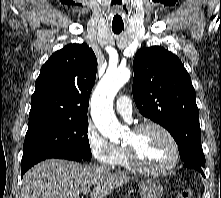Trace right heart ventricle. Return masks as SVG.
Returning a JSON list of instances; mask_svg holds the SVG:
<instances>
[{
  "mask_svg": "<svg viewBox=\"0 0 221 198\" xmlns=\"http://www.w3.org/2000/svg\"><path fill=\"white\" fill-rule=\"evenodd\" d=\"M118 156L115 165H118L120 167H123L125 169H131L132 167L128 163L126 153L123 147H118Z\"/></svg>",
  "mask_w": 221,
  "mask_h": 198,
  "instance_id": "1",
  "label": "right heart ventricle"
}]
</instances>
